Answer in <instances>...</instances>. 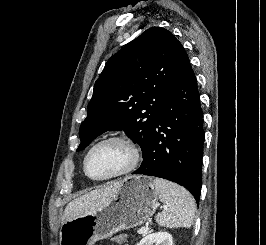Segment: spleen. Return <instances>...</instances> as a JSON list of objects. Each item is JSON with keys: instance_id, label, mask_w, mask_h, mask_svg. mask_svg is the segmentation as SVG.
Here are the masks:
<instances>
[{"instance_id": "spleen-1", "label": "spleen", "mask_w": 266, "mask_h": 245, "mask_svg": "<svg viewBox=\"0 0 266 245\" xmlns=\"http://www.w3.org/2000/svg\"><path fill=\"white\" fill-rule=\"evenodd\" d=\"M153 185L161 203L167 207L158 213L156 223L160 227H192L196 211L192 195L184 187L164 179H154Z\"/></svg>"}]
</instances>
